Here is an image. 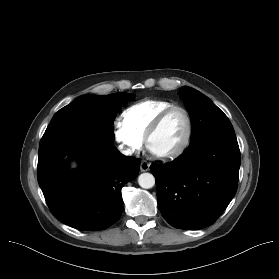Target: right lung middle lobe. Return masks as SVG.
Segmentation results:
<instances>
[{
	"mask_svg": "<svg viewBox=\"0 0 279 279\" xmlns=\"http://www.w3.org/2000/svg\"><path fill=\"white\" fill-rule=\"evenodd\" d=\"M132 99L133 94L123 92L81 96L55 113L45 133L63 127L82 126L113 141V123L117 112Z\"/></svg>",
	"mask_w": 279,
	"mask_h": 279,
	"instance_id": "right-lung-middle-lobe-1",
	"label": "right lung middle lobe"
}]
</instances>
